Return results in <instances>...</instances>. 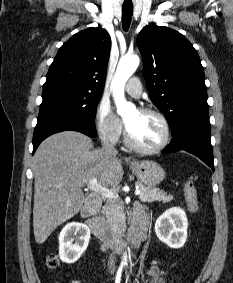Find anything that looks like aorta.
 I'll return each instance as SVG.
<instances>
[{"mask_svg":"<svg viewBox=\"0 0 233 283\" xmlns=\"http://www.w3.org/2000/svg\"><path fill=\"white\" fill-rule=\"evenodd\" d=\"M139 63L140 59L137 55H126L122 57L118 63L117 70L111 82V90L117 107V113L121 116L126 115L135 108L134 104L125 99L124 87L127 80L138 68ZM122 263H127L126 253L123 256Z\"/></svg>","mask_w":233,"mask_h":283,"instance_id":"aorta-1","label":"aorta"}]
</instances>
